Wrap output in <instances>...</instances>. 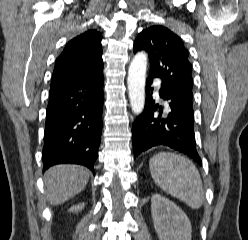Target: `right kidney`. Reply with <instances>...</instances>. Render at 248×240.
<instances>
[{"label": "right kidney", "mask_w": 248, "mask_h": 240, "mask_svg": "<svg viewBox=\"0 0 248 240\" xmlns=\"http://www.w3.org/2000/svg\"><path fill=\"white\" fill-rule=\"evenodd\" d=\"M84 208V203H81L79 205L72 206L69 211L70 212H78Z\"/></svg>", "instance_id": "1"}]
</instances>
